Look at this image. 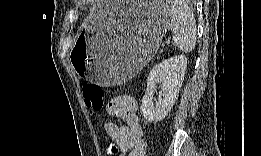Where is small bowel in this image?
I'll list each match as a JSON object with an SVG mask.
<instances>
[{"label":"small bowel","mask_w":261,"mask_h":156,"mask_svg":"<svg viewBox=\"0 0 261 156\" xmlns=\"http://www.w3.org/2000/svg\"><path fill=\"white\" fill-rule=\"evenodd\" d=\"M109 116L118 118L125 125L108 121L104 124L105 133L116 143L121 155L144 156L146 145L142 138V127L137 116V101L130 95L112 98L106 105Z\"/></svg>","instance_id":"c3829d8e"}]
</instances>
